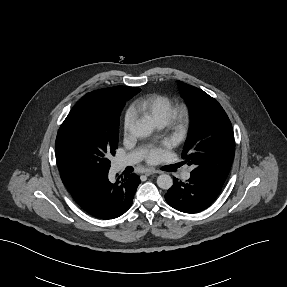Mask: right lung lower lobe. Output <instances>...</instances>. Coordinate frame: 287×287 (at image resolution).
Returning <instances> with one entry per match:
<instances>
[{
    "label": "right lung lower lobe",
    "instance_id": "1",
    "mask_svg": "<svg viewBox=\"0 0 287 287\" xmlns=\"http://www.w3.org/2000/svg\"><path fill=\"white\" fill-rule=\"evenodd\" d=\"M63 183L83 210L106 220L121 216L131 207L140 178L127 174L110 182L106 174L101 177L63 179Z\"/></svg>",
    "mask_w": 287,
    "mask_h": 287
}]
</instances>
